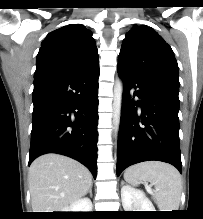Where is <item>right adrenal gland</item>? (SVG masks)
Returning a JSON list of instances; mask_svg holds the SVG:
<instances>
[{"mask_svg": "<svg viewBox=\"0 0 203 219\" xmlns=\"http://www.w3.org/2000/svg\"><path fill=\"white\" fill-rule=\"evenodd\" d=\"M92 186H93V184L90 185L89 190H88V192H87V193L90 194V197H91V198H92V196H93V194H92ZM87 193H86V194H87Z\"/></svg>", "mask_w": 203, "mask_h": 219, "instance_id": "obj_1", "label": "right adrenal gland"}]
</instances>
